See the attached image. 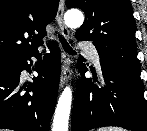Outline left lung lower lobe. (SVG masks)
<instances>
[{
	"label": "left lung lower lobe",
	"instance_id": "1",
	"mask_svg": "<svg viewBox=\"0 0 147 131\" xmlns=\"http://www.w3.org/2000/svg\"><path fill=\"white\" fill-rule=\"evenodd\" d=\"M78 61L83 79L77 82L73 105L72 131L119 126L147 131V103L139 74L100 60L105 86L101 89L83 74L87 68Z\"/></svg>",
	"mask_w": 147,
	"mask_h": 131
}]
</instances>
